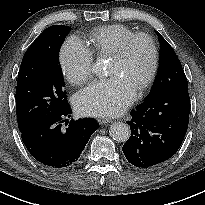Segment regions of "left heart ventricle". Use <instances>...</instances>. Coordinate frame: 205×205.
Segmentation results:
<instances>
[{
    "instance_id": "left-heart-ventricle-1",
    "label": "left heart ventricle",
    "mask_w": 205,
    "mask_h": 205,
    "mask_svg": "<svg viewBox=\"0 0 205 205\" xmlns=\"http://www.w3.org/2000/svg\"><path fill=\"white\" fill-rule=\"evenodd\" d=\"M151 64V50L144 39L132 43L124 59L110 60L109 75L127 79L136 89L148 74Z\"/></svg>"
}]
</instances>
